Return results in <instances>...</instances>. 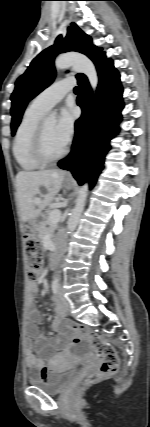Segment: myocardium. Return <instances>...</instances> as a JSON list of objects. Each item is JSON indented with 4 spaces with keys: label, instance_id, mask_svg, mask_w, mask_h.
Masks as SVG:
<instances>
[{
    "label": "myocardium",
    "instance_id": "1",
    "mask_svg": "<svg viewBox=\"0 0 150 427\" xmlns=\"http://www.w3.org/2000/svg\"><path fill=\"white\" fill-rule=\"evenodd\" d=\"M67 153V148L64 149L55 156L47 155L44 146V130L43 125L40 124L35 132L33 144H32V155L33 158L41 165H50L62 159Z\"/></svg>",
    "mask_w": 150,
    "mask_h": 427
}]
</instances>
